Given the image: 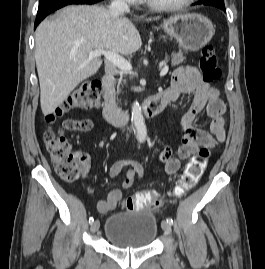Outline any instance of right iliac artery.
Here are the masks:
<instances>
[{
    "instance_id": "obj_1",
    "label": "right iliac artery",
    "mask_w": 265,
    "mask_h": 269,
    "mask_svg": "<svg viewBox=\"0 0 265 269\" xmlns=\"http://www.w3.org/2000/svg\"><path fill=\"white\" fill-rule=\"evenodd\" d=\"M93 222H94L93 217H90V218H89V224H92Z\"/></svg>"
}]
</instances>
